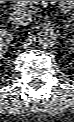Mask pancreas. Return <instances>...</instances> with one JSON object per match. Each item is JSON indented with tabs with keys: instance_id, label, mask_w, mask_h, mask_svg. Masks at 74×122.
<instances>
[{
	"instance_id": "obj_1",
	"label": "pancreas",
	"mask_w": 74,
	"mask_h": 122,
	"mask_svg": "<svg viewBox=\"0 0 74 122\" xmlns=\"http://www.w3.org/2000/svg\"><path fill=\"white\" fill-rule=\"evenodd\" d=\"M16 8H29L37 4V1H11Z\"/></svg>"
}]
</instances>
